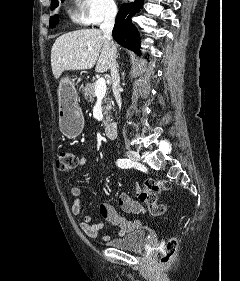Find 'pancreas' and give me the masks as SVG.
Listing matches in <instances>:
<instances>
[{
  "label": "pancreas",
  "mask_w": 240,
  "mask_h": 281,
  "mask_svg": "<svg viewBox=\"0 0 240 281\" xmlns=\"http://www.w3.org/2000/svg\"><path fill=\"white\" fill-rule=\"evenodd\" d=\"M95 86H96V83H88L84 88H83V95L86 99H89V101L91 103H94L95 101ZM103 114H104V117H105V120H104V126H107L108 123L110 122V116H109V113H110V110L112 109V106H113V103L111 101V99L109 98V96L106 94L105 97H104V100H103Z\"/></svg>",
  "instance_id": "1"
}]
</instances>
